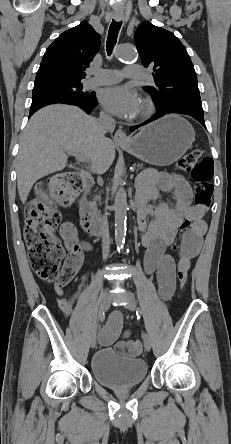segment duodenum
I'll return each mask as SVG.
<instances>
[{"mask_svg": "<svg viewBox=\"0 0 231 444\" xmlns=\"http://www.w3.org/2000/svg\"><path fill=\"white\" fill-rule=\"evenodd\" d=\"M83 186L85 192H89L93 185V180L90 175L83 173L82 176ZM80 215H81V224L86 232L92 236H102L101 232L104 230L100 229L101 219L94 215L88 201L86 198H82L80 201ZM139 219L140 216L136 215Z\"/></svg>", "mask_w": 231, "mask_h": 444, "instance_id": "410a0bca", "label": "duodenum"}]
</instances>
